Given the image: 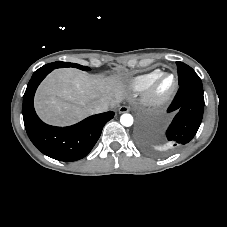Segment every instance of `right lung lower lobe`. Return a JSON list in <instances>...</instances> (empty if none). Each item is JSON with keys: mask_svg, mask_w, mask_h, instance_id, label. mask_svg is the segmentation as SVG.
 <instances>
[{"mask_svg": "<svg viewBox=\"0 0 227 227\" xmlns=\"http://www.w3.org/2000/svg\"><path fill=\"white\" fill-rule=\"evenodd\" d=\"M51 71L39 68L28 83L23 96L25 129L32 143L43 154L59 161H76L91 151L104 125L114 117V112L93 115L63 128L45 124L34 110L33 98L38 85Z\"/></svg>", "mask_w": 227, "mask_h": 227, "instance_id": "right-lung-lower-lobe-1", "label": "right lung lower lobe"}]
</instances>
